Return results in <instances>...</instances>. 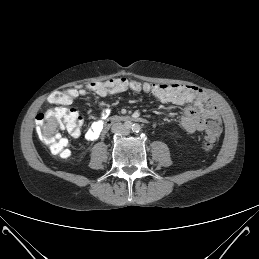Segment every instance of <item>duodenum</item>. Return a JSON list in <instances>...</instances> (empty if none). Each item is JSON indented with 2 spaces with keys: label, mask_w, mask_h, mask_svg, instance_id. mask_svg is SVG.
I'll list each match as a JSON object with an SVG mask.
<instances>
[{
  "label": "duodenum",
  "mask_w": 259,
  "mask_h": 259,
  "mask_svg": "<svg viewBox=\"0 0 259 259\" xmlns=\"http://www.w3.org/2000/svg\"><path fill=\"white\" fill-rule=\"evenodd\" d=\"M133 122L146 123L147 119L140 116H128V115L111 116L103 122V131H107L112 125L117 123H124L127 125Z\"/></svg>",
  "instance_id": "duodenum-1"
}]
</instances>
